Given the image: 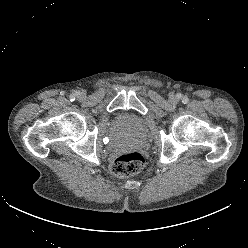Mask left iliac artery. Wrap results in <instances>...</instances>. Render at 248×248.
<instances>
[{"mask_svg":"<svg viewBox=\"0 0 248 248\" xmlns=\"http://www.w3.org/2000/svg\"><path fill=\"white\" fill-rule=\"evenodd\" d=\"M189 99L187 97H183V103H188Z\"/></svg>","mask_w":248,"mask_h":248,"instance_id":"44dca946","label":"left iliac artery"}]
</instances>
